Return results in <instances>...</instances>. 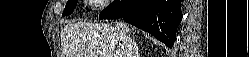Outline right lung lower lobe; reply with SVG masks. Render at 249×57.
<instances>
[{
  "instance_id": "obj_1",
  "label": "right lung lower lobe",
  "mask_w": 249,
  "mask_h": 57,
  "mask_svg": "<svg viewBox=\"0 0 249 57\" xmlns=\"http://www.w3.org/2000/svg\"><path fill=\"white\" fill-rule=\"evenodd\" d=\"M120 17L172 47L182 20L181 0H116L99 15V19Z\"/></svg>"
}]
</instances>
